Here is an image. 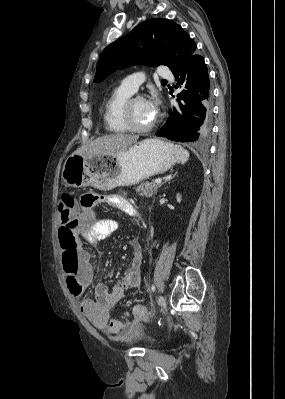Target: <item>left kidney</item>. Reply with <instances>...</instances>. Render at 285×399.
Listing matches in <instances>:
<instances>
[{
	"instance_id": "5707ae66",
	"label": "left kidney",
	"mask_w": 285,
	"mask_h": 399,
	"mask_svg": "<svg viewBox=\"0 0 285 399\" xmlns=\"http://www.w3.org/2000/svg\"><path fill=\"white\" fill-rule=\"evenodd\" d=\"M177 202H181V196L179 194H177Z\"/></svg>"
}]
</instances>
